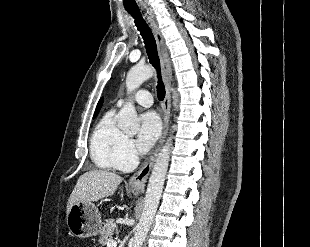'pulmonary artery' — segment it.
<instances>
[{"instance_id":"obj_1","label":"pulmonary artery","mask_w":310,"mask_h":247,"mask_svg":"<svg viewBox=\"0 0 310 247\" xmlns=\"http://www.w3.org/2000/svg\"><path fill=\"white\" fill-rule=\"evenodd\" d=\"M133 100L144 106V107H150L153 104V98L149 91L147 90H139L135 95L133 96ZM124 103V100L121 99L118 101L117 106H121Z\"/></svg>"}]
</instances>
